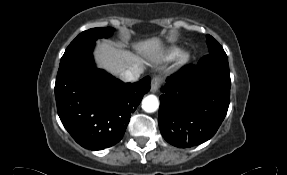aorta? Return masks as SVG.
Returning <instances> with one entry per match:
<instances>
[{"mask_svg": "<svg viewBox=\"0 0 287 175\" xmlns=\"http://www.w3.org/2000/svg\"><path fill=\"white\" fill-rule=\"evenodd\" d=\"M159 108V100L155 95H148L142 100V109L147 113L155 112Z\"/></svg>", "mask_w": 287, "mask_h": 175, "instance_id": "aorta-1", "label": "aorta"}]
</instances>
